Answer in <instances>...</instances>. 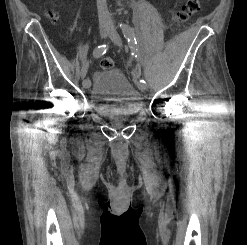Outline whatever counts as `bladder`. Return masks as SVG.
Masks as SVG:
<instances>
[{"label": "bladder", "mask_w": 247, "mask_h": 245, "mask_svg": "<svg viewBox=\"0 0 247 245\" xmlns=\"http://www.w3.org/2000/svg\"><path fill=\"white\" fill-rule=\"evenodd\" d=\"M89 100L104 116L135 114L141 109V95L119 69H104L93 76Z\"/></svg>", "instance_id": "obj_1"}]
</instances>
